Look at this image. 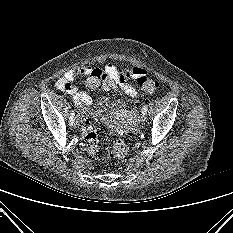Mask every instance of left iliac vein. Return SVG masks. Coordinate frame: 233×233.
Instances as JSON below:
<instances>
[{
    "instance_id": "1",
    "label": "left iliac vein",
    "mask_w": 233,
    "mask_h": 233,
    "mask_svg": "<svg viewBox=\"0 0 233 233\" xmlns=\"http://www.w3.org/2000/svg\"><path fill=\"white\" fill-rule=\"evenodd\" d=\"M140 120H141V122H145L147 120L146 114L141 113Z\"/></svg>"
}]
</instances>
